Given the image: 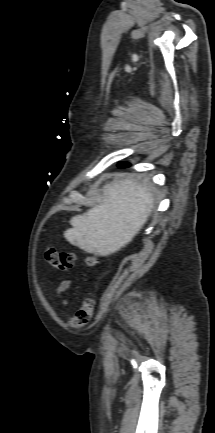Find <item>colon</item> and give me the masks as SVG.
Segmentation results:
<instances>
[{
	"instance_id": "5ec220e1",
	"label": "colon",
	"mask_w": 215,
	"mask_h": 433,
	"mask_svg": "<svg viewBox=\"0 0 215 433\" xmlns=\"http://www.w3.org/2000/svg\"><path fill=\"white\" fill-rule=\"evenodd\" d=\"M45 258L48 264L62 271H68L73 268L76 261V254L73 252L59 251L53 247H47L45 250ZM94 262L93 258L87 260L88 264ZM95 299L93 295H86L81 303L80 308L70 320V325L73 328H81L87 325L94 313Z\"/></svg>"
}]
</instances>
